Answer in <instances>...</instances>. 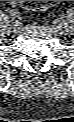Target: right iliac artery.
Masks as SVG:
<instances>
[{
  "instance_id": "82829eb1",
  "label": "right iliac artery",
  "mask_w": 74,
  "mask_h": 122,
  "mask_svg": "<svg viewBox=\"0 0 74 122\" xmlns=\"http://www.w3.org/2000/svg\"><path fill=\"white\" fill-rule=\"evenodd\" d=\"M10 14H11L12 17H14V16H15V10H11V11H10ZM16 23H17V22H16Z\"/></svg>"
}]
</instances>
